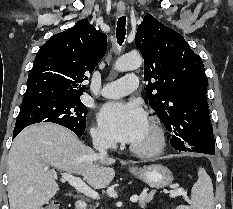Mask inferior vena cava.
Masks as SVG:
<instances>
[{"label": "inferior vena cava", "instance_id": "inferior-vena-cava-1", "mask_svg": "<svg viewBox=\"0 0 233 209\" xmlns=\"http://www.w3.org/2000/svg\"><path fill=\"white\" fill-rule=\"evenodd\" d=\"M93 146L99 152L100 156L107 155V149L111 146V142L100 136L93 138Z\"/></svg>", "mask_w": 233, "mask_h": 209}]
</instances>
